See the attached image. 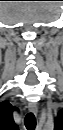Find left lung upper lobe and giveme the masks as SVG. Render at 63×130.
Segmentation results:
<instances>
[{
  "instance_id": "5c2ea615",
  "label": "left lung upper lobe",
  "mask_w": 63,
  "mask_h": 130,
  "mask_svg": "<svg viewBox=\"0 0 63 130\" xmlns=\"http://www.w3.org/2000/svg\"><path fill=\"white\" fill-rule=\"evenodd\" d=\"M62 119V112L59 113L56 121H55V129H58V127L60 126V120Z\"/></svg>"
}]
</instances>
